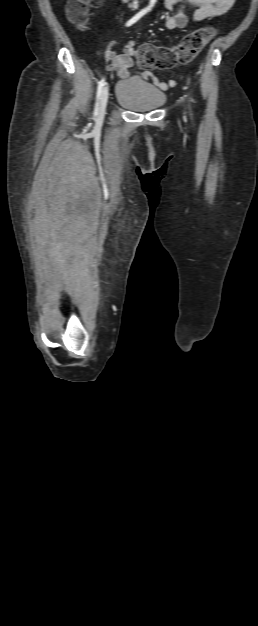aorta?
<instances>
[{
	"label": "aorta",
	"mask_w": 258,
	"mask_h": 626,
	"mask_svg": "<svg viewBox=\"0 0 258 626\" xmlns=\"http://www.w3.org/2000/svg\"><path fill=\"white\" fill-rule=\"evenodd\" d=\"M156 0H150V5L153 6L155 4Z\"/></svg>",
	"instance_id": "762f6f07"
}]
</instances>
